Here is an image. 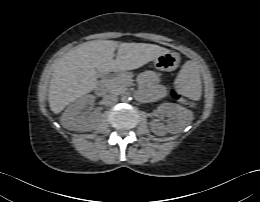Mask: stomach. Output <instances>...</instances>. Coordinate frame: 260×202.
Listing matches in <instances>:
<instances>
[{
	"label": "stomach",
	"mask_w": 260,
	"mask_h": 202,
	"mask_svg": "<svg viewBox=\"0 0 260 202\" xmlns=\"http://www.w3.org/2000/svg\"><path fill=\"white\" fill-rule=\"evenodd\" d=\"M180 62V56L175 52H167L154 59V66L161 71L175 70Z\"/></svg>",
	"instance_id": "0dacf381"
}]
</instances>
